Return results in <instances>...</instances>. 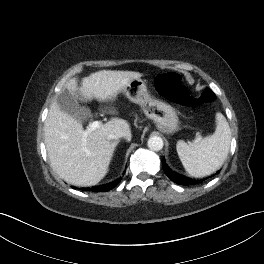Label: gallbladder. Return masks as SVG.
<instances>
[{
  "mask_svg": "<svg viewBox=\"0 0 264 264\" xmlns=\"http://www.w3.org/2000/svg\"><path fill=\"white\" fill-rule=\"evenodd\" d=\"M56 102L63 112L79 121L85 120L91 115L89 108L80 106L76 97L67 89L58 93Z\"/></svg>",
  "mask_w": 264,
  "mask_h": 264,
  "instance_id": "gallbladder-1",
  "label": "gallbladder"
}]
</instances>
